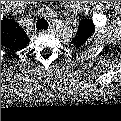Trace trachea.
<instances>
[{
    "label": "trachea",
    "mask_w": 121,
    "mask_h": 121,
    "mask_svg": "<svg viewBox=\"0 0 121 121\" xmlns=\"http://www.w3.org/2000/svg\"><path fill=\"white\" fill-rule=\"evenodd\" d=\"M48 22L44 19V18H41V19H38L37 23H36V27L38 30H42V29H48Z\"/></svg>",
    "instance_id": "3493384b"
}]
</instances>
